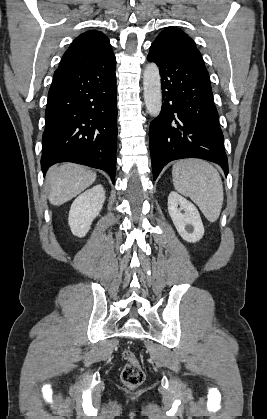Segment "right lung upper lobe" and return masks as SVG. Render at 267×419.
<instances>
[{
    "instance_id": "right-lung-upper-lobe-1",
    "label": "right lung upper lobe",
    "mask_w": 267,
    "mask_h": 419,
    "mask_svg": "<svg viewBox=\"0 0 267 419\" xmlns=\"http://www.w3.org/2000/svg\"><path fill=\"white\" fill-rule=\"evenodd\" d=\"M115 60L109 39L100 31L79 35L64 53L59 68H99Z\"/></svg>"
}]
</instances>
